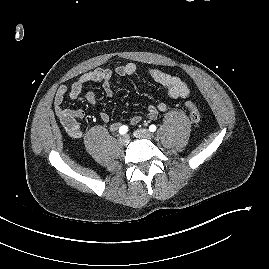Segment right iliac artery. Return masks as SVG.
Instances as JSON below:
<instances>
[{"label":"right iliac artery","instance_id":"82829eb1","mask_svg":"<svg viewBox=\"0 0 269 269\" xmlns=\"http://www.w3.org/2000/svg\"><path fill=\"white\" fill-rule=\"evenodd\" d=\"M128 132V126H126V125H123V126H121L120 128H119V133L120 134H126Z\"/></svg>","mask_w":269,"mask_h":269}]
</instances>
